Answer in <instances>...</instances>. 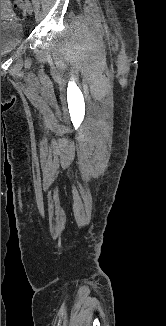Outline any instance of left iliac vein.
Listing matches in <instances>:
<instances>
[{
	"mask_svg": "<svg viewBox=\"0 0 166 326\" xmlns=\"http://www.w3.org/2000/svg\"><path fill=\"white\" fill-rule=\"evenodd\" d=\"M25 11L30 15L33 13V7L29 0H25Z\"/></svg>",
	"mask_w": 166,
	"mask_h": 326,
	"instance_id": "1",
	"label": "left iliac vein"
}]
</instances>
